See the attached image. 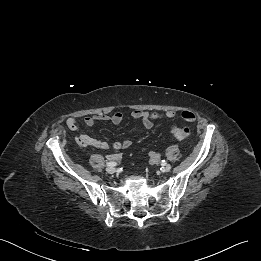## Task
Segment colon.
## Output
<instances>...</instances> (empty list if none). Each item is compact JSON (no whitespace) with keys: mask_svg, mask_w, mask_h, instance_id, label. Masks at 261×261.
<instances>
[{"mask_svg":"<svg viewBox=\"0 0 261 261\" xmlns=\"http://www.w3.org/2000/svg\"><path fill=\"white\" fill-rule=\"evenodd\" d=\"M171 136L177 140H185L191 134V129L188 126H172L170 129Z\"/></svg>","mask_w":261,"mask_h":261,"instance_id":"obj_1","label":"colon"}]
</instances>
